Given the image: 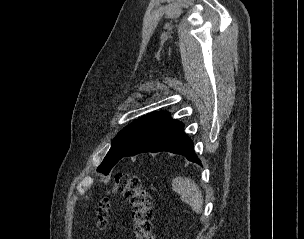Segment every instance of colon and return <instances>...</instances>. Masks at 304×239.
Instances as JSON below:
<instances>
[{
    "label": "colon",
    "mask_w": 304,
    "mask_h": 239,
    "mask_svg": "<svg viewBox=\"0 0 304 239\" xmlns=\"http://www.w3.org/2000/svg\"><path fill=\"white\" fill-rule=\"evenodd\" d=\"M113 193L123 195L130 204L133 234L135 239H153L152 233V201L140 178L128 173H119L115 176ZM110 201L104 196L98 203L97 227L102 230L108 225Z\"/></svg>",
    "instance_id": "colon-1"
}]
</instances>
